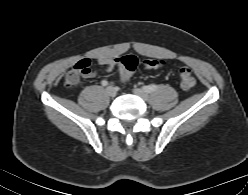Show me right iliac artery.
<instances>
[{"instance_id": "right-iliac-artery-1", "label": "right iliac artery", "mask_w": 248, "mask_h": 195, "mask_svg": "<svg viewBox=\"0 0 248 195\" xmlns=\"http://www.w3.org/2000/svg\"><path fill=\"white\" fill-rule=\"evenodd\" d=\"M101 84H102V86H107V85H108V82H107L106 80H103V81L101 82Z\"/></svg>"}]
</instances>
